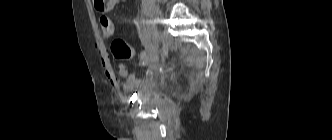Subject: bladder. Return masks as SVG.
<instances>
[{
  "label": "bladder",
  "mask_w": 332,
  "mask_h": 140,
  "mask_svg": "<svg viewBox=\"0 0 332 140\" xmlns=\"http://www.w3.org/2000/svg\"><path fill=\"white\" fill-rule=\"evenodd\" d=\"M150 96H151V91H146L140 96V99L142 101L146 102V101H149Z\"/></svg>",
  "instance_id": "1"
}]
</instances>
